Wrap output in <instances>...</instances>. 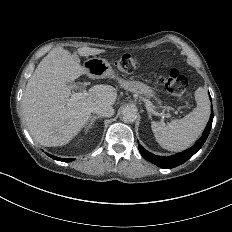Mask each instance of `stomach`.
I'll return each mask as SVG.
<instances>
[{
	"instance_id": "stomach-1",
	"label": "stomach",
	"mask_w": 232,
	"mask_h": 232,
	"mask_svg": "<svg viewBox=\"0 0 232 232\" xmlns=\"http://www.w3.org/2000/svg\"><path fill=\"white\" fill-rule=\"evenodd\" d=\"M83 67L87 70V75L93 79H100V78H116L121 85L122 88L128 90L132 93L145 95L151 97L153 95L152 89L147 86L146 84L140 81H127L117 77L110 65V63L100 57H93L87 59Z\"/></svg>"
}]
</instances>
